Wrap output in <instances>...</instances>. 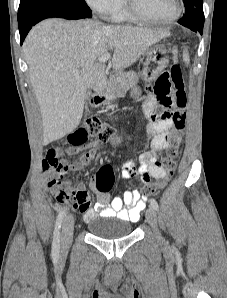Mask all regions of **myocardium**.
<instances>
[{"label":"myocardium","instance_id":"1","mask_svg":"<svg viewBox=\"0 0 227 298\" xmlns=\"http://www.w3.org/2000/svg\"><path fill=\"white\" fill-rule=\"evenodd\" d=\"M175 12L172 16L166 19L158 20L145 15L137 6L136 0H124V7L127 13L136 21L155 24L167 25L176 21L182 13V4L180 0H174Z\"/></svg>","mask_w":227,"mask_h":298}]
</instances>
